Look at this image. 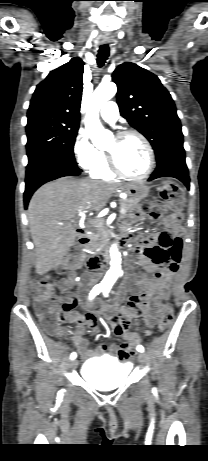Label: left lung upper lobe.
<instances>
[{"label": "left lung upper lobe", "instance_id": "obj_1", "mask_svg": "<svg viewBox=\"0 0 208 461\" xmlns=\"http://www.w3.org/2000/svg\"><path fill=\"white\" fill-rule=\"evenodd\" d=\"M112 77L121 116L148 139L157 162L169 153L184 151L174 101L159 78L130 62L118 66Z\"/></svg>", "mask_w": 208, "mask_h": 461}]
</instances>
